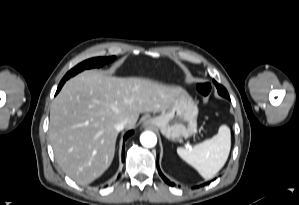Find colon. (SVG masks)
<instances>
[{"instance_id":"5ec220e1","label":"colon","mask_w":299,"mask_h":205,"mask_svg":"<svg viewBox=\"0 0 299 205\" xmlns=\"http://www.w3.org/2000/svg\"><path fill=\"white\" fill-rule=\"evenodd\" d=\"M197 90H198L199 94L201 95V97L203 98V101L205 103H208L210 93H211V85L208 82H200L197 85Z\"/></svg>"}]
</instances>
